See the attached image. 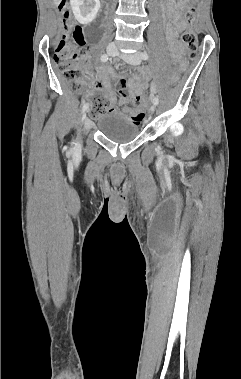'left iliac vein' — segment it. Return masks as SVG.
<instances>
[{"mask_svg": "<svg viewBox=\"0 0 241 379\" xmlns=\"http://www.w3.org/2000/svg\"><path fill=\"white\" fill-rule=\"evenodd\" d=\"M129 64L139 65L141 63V57L139 53H131V54H117ZM150 111L153 113L155 111V104L150 107Z\"/></svg>", "mask_w": 241, "mask_h": 379, "instance_id": "4c4485c4", "label": "left iliac vein"}]
</instances>
